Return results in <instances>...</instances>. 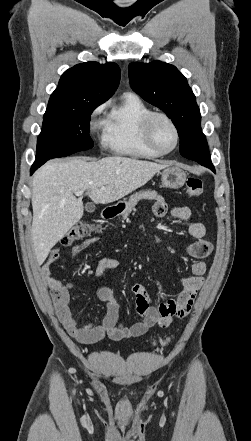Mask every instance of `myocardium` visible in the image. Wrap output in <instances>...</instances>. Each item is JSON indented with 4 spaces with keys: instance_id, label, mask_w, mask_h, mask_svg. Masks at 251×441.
Segmentation results:
<instances>
[{
    "instance_id": "obj_1",
    "label": "myocardium",
    "mask_w": 251,
    "mask_h": 441,
    "mask_svg": "<svg viewBox=\"0 0 251 441\" xmlns=\"http://www.w3.org/2000/svg\"><path fill=\"white\" fill-rule=\"evenodd\" d=\"M158 119H164L173 129L175 134V144L170 150H162L158 145L155 143L154 136H153V128L156 120ZM143 137L148 145L149 148H151L154 152L158 153L159 155H167L171 152H173L179 145L180 142V133L179 129L174 122V120L166 113L164 112H152L150 113L144 120L143 126Z\"/></svg>"
}]
</instances>
